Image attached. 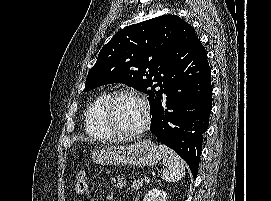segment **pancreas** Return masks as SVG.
I'll return each mask as SVG.
<instances>
[{
    "instance_id": "1",
    "label": "pancreas",
    "mask_w": 271,
    "mask_h": 201,
    "mask_svg": "<svg viewBox=\"0 0 271 201\" xmlns=\"http://www.w3.org/2000/svg\"><path fill=\"white\" fill-rule=\"evenodd\" d=\"M143 186V180L142 179H138V180H134L131 183V188L133 190H138Z\"/></svg>"
}]
</instances>
